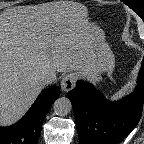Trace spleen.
<instances>
[{"label":"spleen","mask_w":144,"mask_h":144,"mask_svg":"<svg viewBox=\"0 0 144 144\" xmlns=\"http://www.w3.org/2000/svg\"><path fill=\"white\" fill-rule=\"evenodd\" d=\"M134 87L133 82L132 81H128L126 83V85L123 86V88L121 90H119L117 93H115L112 97L113 100H117L119 98H121L122 96H124L126 93H128L130 90H132V88Z\"/></svg>","instance_id":"1"}]
</instances>
